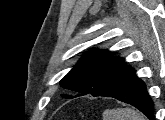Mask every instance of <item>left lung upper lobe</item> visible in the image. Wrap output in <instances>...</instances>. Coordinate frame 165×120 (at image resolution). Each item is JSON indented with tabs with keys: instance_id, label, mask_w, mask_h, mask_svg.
<instances>
[{
	"instance_id": "left-lung-upper-lobe-1",
	"label": "left lung upper lobe",
	"mask_w": 165,
	"mask_h": 120,
	"mask_svg": "<svg viewBox=\"0 0 165 120\" xmlns=\"http://www.w3.org/2000/svg\"><path fill=\"white\" fill-rule=\"evenodd\" d=\"M130 68L124 65L122 58H113L107 50H91L60 81L63 88L81 94L63 97L71 99L87 94L108 96L122 84Z\"/></svg>"
}]
</instances>
